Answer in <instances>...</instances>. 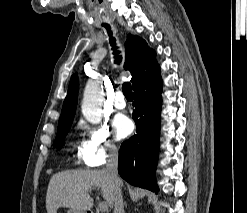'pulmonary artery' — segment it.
Wrapping results in <instances>:
<instances>
[{"label":"pulmonary artery","mask_w":247,"mask_h":213,"mask_svg":"<svg viewBox=\"0 0 247 213\" xmlns=\"http://www.w3.org/2000/svg\"><path fill=\"white\" fill-rule=\"evenodd\" d=\"M113 107L117 110H123L126 107V101L122 92H117L114 97Z\"/></svg>","instance_id":"pulmonary-artery-1"}]
</instances>
